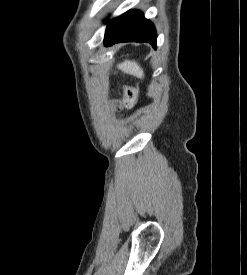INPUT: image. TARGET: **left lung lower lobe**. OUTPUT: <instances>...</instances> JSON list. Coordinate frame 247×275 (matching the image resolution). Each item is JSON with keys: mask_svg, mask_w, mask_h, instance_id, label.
Wrapping results in <instances>:
<instances>
[{"mask_svg": "<svg viewBox=\"0 0 247 275\" xmlns=\"http://www.w3.org/2000/svg\"><path fill=\"white\" fill-rule=\"evenodd\" d=\"M120 42H148L156 49L155 27L142 12L129 10L110 21L106 28L105 46Z\"/></svg>", "mask_w": 247, "mask_h": 275, "instance_id": "left-lung-lower-lobe-1", "label": "left lung lower lobe"}]
</instances>
